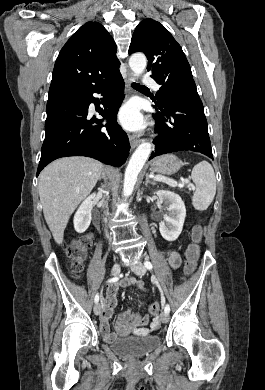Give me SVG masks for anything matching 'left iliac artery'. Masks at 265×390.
Returning a JSON list of instances; mask_svg holds the SVG:
<instances>
[{
	"mask_svg": "<svg viewBox=\"0 0 265 390\" xmlns=\"http://www.w3.org/2000/svg\"><path fill=\"white\" fill-rule=\"evenodd\" d=\"M144 265H145V267H146L148 270H151V269L153 268L152 263H151L150 261H145V262H144ZM154 283L159 287L158 282H157L156 280L154 281ZM159 289H160V288H159ZM160 292H161L162 299H164V296H163V293H162L161 289H160ZM164 312H166V313H169V312H170V306H169L168 304L165 306Z\"/></svg>",
	"mask_w": 265,
	"mask_h": 390,
	"instance_id": "44dca946",
	"label": "left iliac artery"
}]
</instances>
